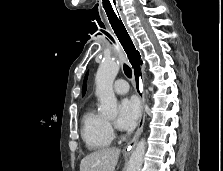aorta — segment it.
I'll return each instance as SVG.
<instances>
[{
    "mask_svg": "<svg viewBox=\"0 0 223 171\" xmlns=\"http://www.w3.org/2000/svg\"><path fill=\"white\" fill-rule=\"evenodd\" d=\"M119 63L115 60H104L99 66L96 77V95L100 101L101 114L109 117L117 116V99L113 91V82L119 71ZM146 141L141 139L133 151L126 171H141Z\"/></svg>",
    "mask_w": 223,
    "mask_h": 171,
    "instance_id": "obj_1",
    "label": "aorta"
}]
</instances>
